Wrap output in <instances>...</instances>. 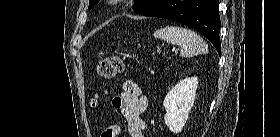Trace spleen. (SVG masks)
Instances as JSON below:
<instances>
[{
    "label": "spleen",
    "instance_id": "spleen-1",
    "mask_svg": "<svg viewBox=\"0 0 280 137\" xmlns=\"http://www.w3.org/2000/svg\"><path fill=\"white\" fill-rule=\"evenodd\" d=\"M153 36L168 43L179 45L182 57H192L208 53V45L203 38L194 31L177 26H167L158 29Z\"/></svg>",
    "mask_w": 280,
    "mask_h": 137
}]
</instances>
